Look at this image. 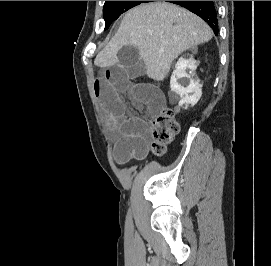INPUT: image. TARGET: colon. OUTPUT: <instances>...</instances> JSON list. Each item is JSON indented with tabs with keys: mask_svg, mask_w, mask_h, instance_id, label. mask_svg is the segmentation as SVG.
I'll list each match as a JSON object with an SVG mask.
<instances>
[{
	"mask_svg": "<svg viewBox=\"0 0 271 266\" xmlns=\"http://www.w3.org/2000/svg\"><path fill=\"white\" fill-rule=\"evenodd\" d=\"M178 131L179 126L174 112L165 108L152 122V150L157 155L164 154L166 146L173 141Z\"/></svg>",
	"mask_w": 271,
	"mask_h": 266,
	"instance_id": "1",
	"label": "colon"
}]
</instances>
